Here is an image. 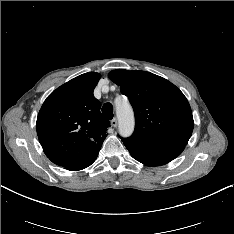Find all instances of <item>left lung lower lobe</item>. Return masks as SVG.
<instances>
[{"label": "left lung lower lobe", "mask_w": 234, "mask_h": 234, "mask_svg": "<svg viewBox=\"0 0 234 234\" xmlns=\"http://www.w3.org/2000/svg\"><path fill=\"white\" fill-rule=\"evenodd\" d=\"M122 141L131 156L147 166H159L170 162L182 153L185 146H150Z\"/></svg>", "instance_id": "0a47b994"}]
</instances>
